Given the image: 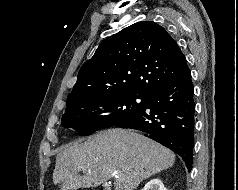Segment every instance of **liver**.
Returning a JSON list of instances; mask_svg holds the SVG:
<instances>
[{
  "instance_id": "liver-1",
  "label": "liver",
  "mask_w": 238,
  "mask_h": 190,
  "mask_svg": "<svg viewBox=\"0 0 238 190\" xmlns=\"http://www.w3.org/2000/svg\"><path fill=\"white\" fill-rule=\"evenodd\" d=\"M174 163V153L156 141L132 130L109 129L63 147L53 182L61 190L97 187L117 171L114 190H135Z\"/></svg>"
}]
</instances>
